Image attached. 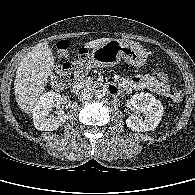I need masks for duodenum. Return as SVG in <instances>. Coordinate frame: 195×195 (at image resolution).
Masks as SVG:
<instances>
[{
    "label": "duodenum",
    "instance_id": "obj_1",
    "mask_svg": "<svg viewBox=\"0 0 195 195\" xmlns=\"http://www.w3.org/2000/svg\"><path fill=\"white\" fill-rule=\"evenodd\" d=\"M91 86L92 84L90 81L83 80L73 86V92L82 93ZM103 88L110 94H115L117 92V87L114 84H106Z\"/></svg>",
    "mask_w": 195,
    "mask_h": 195
}]
</instances>
